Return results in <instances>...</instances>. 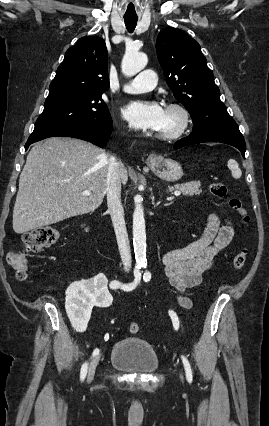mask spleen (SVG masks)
<instances>
[{"label":"spleen","instance_id":"obj_1","mask_svg":"<svg viewBox=\"0 0 269 426\" xmlns=\"http://www.w3.org/2000/svg\"><path fill=\"white\" fill-rule=\"evenodd\" d=\"M227 165L228 168L231 170L233 178L239 179L242 176L241 169L239 168L238 163L234 159H229Z\"/></svg>","mask_w":269,"mask_h":426}]
</instances>
